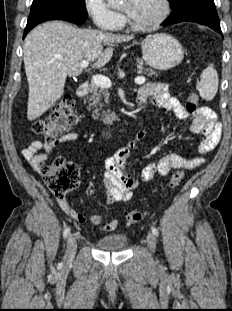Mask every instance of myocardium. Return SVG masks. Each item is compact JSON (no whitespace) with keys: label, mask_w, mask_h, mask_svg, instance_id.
Instances as JSON below:
<instances>
[{"label":"myocardium","mask_w":232,"mask_h":311,"mask_svg":"<svg viewBox=\"0 0 232 311\" xmlns=\"http://www.w3.org/2000/svg\"><path fill=\"white\" fill-rule=\"evenodd\" d=\"M158 2L160 4V11L153 21L147 24H137L133 22L130 17H128L127 24L130 28L138 32H149L159 27L168 17L170 5L168 0H158Z\"/></svg>","instance_id":"myocardium-1"}]
</instances>
